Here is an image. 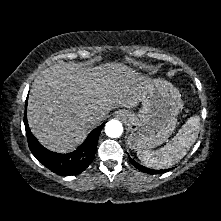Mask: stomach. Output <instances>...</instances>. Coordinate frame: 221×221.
Returning a JSON list of instances; mask_svg holds the SVG:
<instances>
[{
  "label": "stomach",
  "instance_id": "0dacf381",
  "mask_svg": "<svg viewBox=\"0 0 221 221\" xmlns=\"http://www.w3.org/2000/svg\"><path fill=\"white\" fill-rule=\"evenodd\" d=\"M140 101L142 107L139 113L121 111L130 130L127 143L137 151L152 149L165 142L174 132L182 108L179 91L162 79H149Z\"/></svg>",
  "mask_w": 221,
  "mask_h": 221
}]
</instances>
